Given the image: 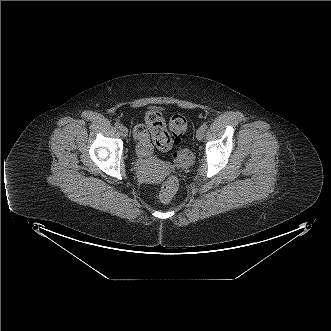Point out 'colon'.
Masks as SVG:
<instances>
[{
    "label": "colon",
    "mask_w": 331,
    "mask_h": 331,
    "mask_svg": "<svg viewBox=\"0 0 331 331\" xmlns=\"http://www.w3.org/2000/svg\"><path fill=\"white\" fill-rule=\"evenodd\" d=\"M146 125H138L135 133L139 136L142 143L147 140L148 129L151 132L153 142L160 151H168L172 144H178L181 141L187 129V119L182 114H174L169 121L170 133L166 128L165 121L157 111H149L144 117ZM175 161L181 166H187L192 162V154L184 149L175 153ZM177 188V181L169 177L162 185L157 200L160 203L171 201Z\"/></svg>",
    "instance_id": "5ec220e1"
}]
</instances>
